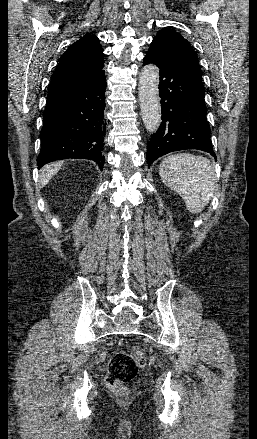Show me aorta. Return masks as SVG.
<instances>
[{"label": "aorta", "mask_w": 257, "mask_h": 439, "mask_svg": "<svg viewBox=\"0 0 257 439\" xmlns=\"http://www.w3.org/2000/svg\"><path fill=\"white\" fill-rule=\"evenodd\" d=\"M158 78L157 67L153 64H149L142 69L138 84L142 120L146 129L151 133L157 131L161 122Z\"/></svg>", "instance_id": "762f6f07"}]
</instances>
